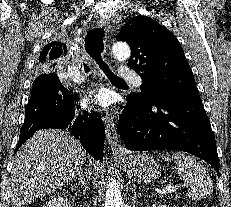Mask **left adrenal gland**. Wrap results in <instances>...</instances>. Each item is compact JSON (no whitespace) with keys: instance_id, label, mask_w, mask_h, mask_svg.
<instances>
[{"instance_id":"a2214340","label":"left adrenal gland","mask_w":231,"mask_h":207,"mask_svg":"<svg viewBox=\"0 0 231 207\" xmlns=\"http://www.w3.org/2000/svg\"><path fill=\"white\" fill-rule=\"evenodd\" d=\"M139 197V194L137 193L135 187H134V192H133V196H132V204L136 203L137 198Z\"/></svg>"}]
</instances>
